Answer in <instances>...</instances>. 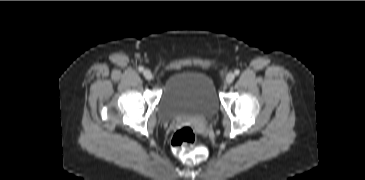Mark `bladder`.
<instances>
[{
  "mask_svg": "<svg viewBox=\"0 0 365 180\" xmlns=\"http://www.w3.org/2000/svg\"><path fill=\"white\" fill-rule=\"evenodd\" d=\"M220 101L212 78L198 70L174 72L166 82L158 105V117L173 121L214 115Z\"/></svg>",
  "mask_w": 365,
  "mask_h": 180,
  "instance_id": "31cf9c89",
  "label": "bladder"
}]
</instances>
